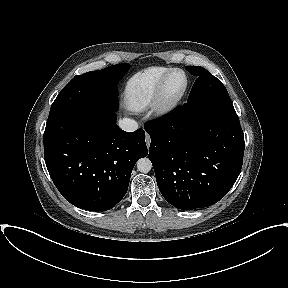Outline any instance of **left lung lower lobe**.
Segmentation results:
<instances>
[{
  "instance_id": "1",
  "label": "left lung lower lobe",
  "mask_w": 288,
  "mask_h": 288,
  "mask_svg": "<svg viewBox=\"0 0 288 288\" xmlns=\"http://www.w3.org/2000/svg\"><path fill=\"white\" fill-rule=\"evenodd\" d=\"M144 128L157 185L176 208L213 205L237 180L245 148L237 114L183 104Z\"/></svg>"
}]
</instances>
